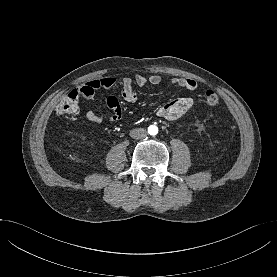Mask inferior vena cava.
Wrapping results in <instances>:
<instances>
[{"mask_svg": "<svg viewBox=\"0 0 277 277\" xmlns=\"http://www.w3.org/2000/svg\"><path fill=\"white\" fill-rule=\"evenodd\" d=\"M147 135V132L144 128H137V129H133L131 132H130V136L133 138V139H142V138H145Z\"/></svg>", "mask_w": 277, "mask_h": 277, "instance_id": "inferior-vena-cava-1", "label": "inferior vena cava"}]
</instances>
